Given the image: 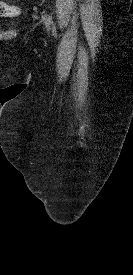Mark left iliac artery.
<instances>
[{
    "mask_svg": "<svg viewBox=\"0 0 133 275\" xmlns=\"http://www.w3.org/2000/svg\"><path fill=\"white\" fill-rule=\"evenodd\" d=\"M43 18H44V20L47 24L52 25L53 29L55 28L54 24H53V21H52V18L49 15L44 13Z\"/></svg>",
    "mask_w": 133,
    "mask_h": 275,
    "instance_id": "44dca946",
    "label": "left iliac artery"
}]
</instances>
